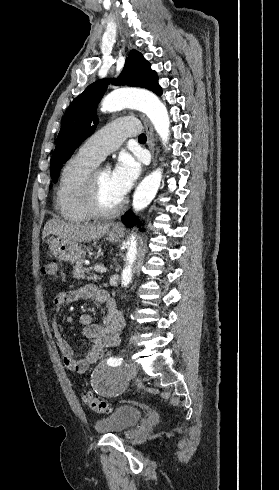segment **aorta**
I'll return each instance as SVG.
<instances>
[{
	"label": "aorta",
	"instance_id": "762f6f07",
	"mask_svg": "<svg viewBox=\"0 0 279 490\" xmlns=\"http://www.w3.org/2000/svg\"><path fill=\"white\" fill-rule=\"evenodd\" d=\"M102 111L114 112L126 107L138 109L151 120L162 143L166 146L170 136V119L166 106L150 92L135 90H118L106 96L101 104ZM162 179V169L158 168L146 176L136 188L133 195V209L138 212L147 207L156 196ZM128 252L126 266L122 271V285L127 286L132 279V266L136 260L137 240L132 235L127 241Z\"/></svg>",
	"mask_w": 279,
	"mask_h": 490
}]
</instances>
